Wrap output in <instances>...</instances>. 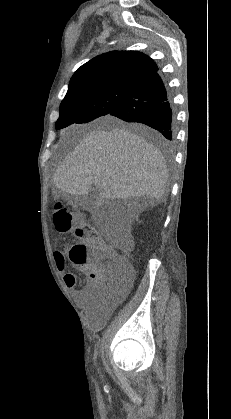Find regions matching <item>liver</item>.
Here are the masks:
<instances>
[{
    "label": "liver",
    "mask_w": 231,
    "mask_h": 419,
    "mask_svg": "<svg viewBox=\"0 0 231 419\" xmlns=\"http://www.w3.org/2000/svg\"><path fill=\"white\" fill-rule=\"evenodd\" d=\"M103 121L113 128L92 130L83 138L56 170L55 187L84 196L95 185L100 199L147 196L160 201L168 177L160 151L118 120L106 117Z\"/></svg>",
    "instance_id": "6515ba94"
}]
</instances>
